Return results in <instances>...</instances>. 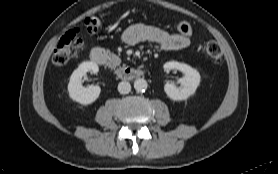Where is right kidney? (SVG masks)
Instances as JSON below:
<instances>
[{
  "instance_id": "obj_1",
  "label": "right kidney",
  "mask_w": 278,
  "mask_h": 174,
  "mask_svg": "<svg viewBox=\"0 0 278 174\" xmlns=\"http://www.w3.org/2000/svg\"><path fill=\"white\" fill-rule=\"evenodd\" d=\"M98 71V65L91 61L81 63L78 68L74 70L68 84V92L72 100L83 105H88L99 97L101 92L99 86L91 85L89 87H84L82 85V77L85 76L87 72L97 73Z\"/></svg>"
}]
</instances>
